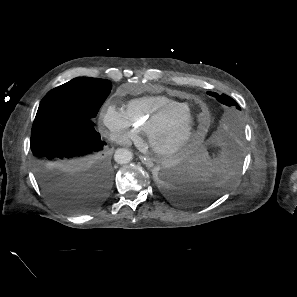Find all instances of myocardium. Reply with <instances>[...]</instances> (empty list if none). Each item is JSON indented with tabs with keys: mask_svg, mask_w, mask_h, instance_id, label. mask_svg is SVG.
I'll use <instances>...</instances> for the list:
<instances>
[{
	"mask_svg": "<svg viewBox=\"0 0 297 297\" xmlns=\"http://www.w3.org/2000/svg\"><path fill=\"white\" fill-rule=\"evenodd\" d=\"M185 120L188 126L182 137L171 144L162 145L159 143V138L168 127L176 122ZM199 128V120L196 118L193 111L187 107L186 109L158 120L147 130V141L151 151L161 158H169L177 154L184 147H186Z\"/></svg>",
	"mask_w": 297,
	"mask_h": 297,
	"instance_id": "1",
	"label": "myocardium"
}]
</instances>
